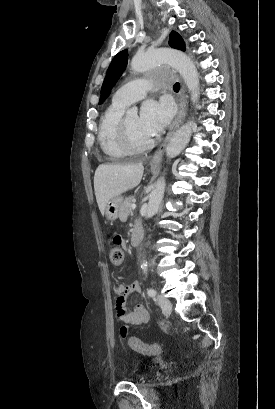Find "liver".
<instances>
[{"instance_id": "6515ba94", "label": "liver", "mask_w": 275, "mask_h": 409, "mask_svg": "<svg viewBox=\"0 0 275 409\" xmlns=\"http://www.w3.org/2000/svg\"><path fill=\"white\" fill-rule=\"evenodd\" d=\"M144 166L137 164H99L94 174V188L101 215L110 198L119 196L139 184Z\"/></svg>"}]
</instances>
